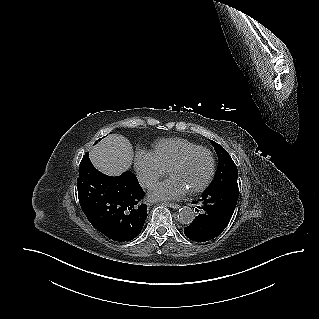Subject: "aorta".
<instances>
[{"label": "aorta", "mask_w": 319, "mask_h": 319, "mask_svg": "<svg viewBox=\"0 0 319 319\" xmlns=\"http://www.w3.org/2000/svg\"><path fill=\"white\" fill-rule=\"evenodd\" d=\"M178 221L182 224L189 225L195 218V213L192 208L184 206L179 209Z\"/></svg>", "instance_id": "aorta-1"}]
</instances>
